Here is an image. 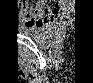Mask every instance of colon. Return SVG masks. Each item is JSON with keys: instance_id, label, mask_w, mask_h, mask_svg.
Returning <instances> with one entry per match:
<instances>
[{"instance_id": "5ec220e1", "label": "colon", "mask_w": 93, "mask_h": 83, "mask_svg": "<svg viewBox=\"0 0 93 83\" xmlns=\"http://www.w3.org/2000/svg\"><path fill=\"white\" fill-rule=\"evenodd\" d=\"M54 2L57 3L56 6L43 7L39 6V4L43 3L41 1H27L29 6L24 9L26 20L39 24L40 26L55 22L59 16L67 10L71 2Z\"/></svg>"}]
</instances>
